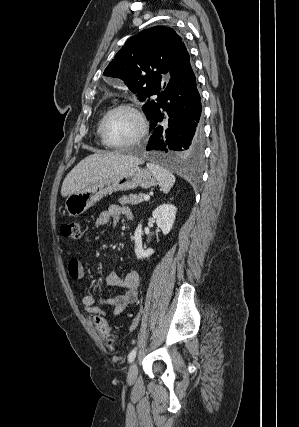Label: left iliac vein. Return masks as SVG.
I'll use <instances>...</instances> for the list:
<instances>
[{"label":"left iliac vein","mask_w":299,"mask_h":427,"mask_svg":"<svg viewBox=\"0 0 299 427\" xmlns=\"http://www.w3.org/2000/svg\"><path fill=\"white\" fill-rule=\"evenodd\" d=\"M137 375H138V365L136 362H134L131 364L128 371V375H127L128 382L129 383L135 382Z\"/></svg>","instance_id":"1"}]
</instances>
